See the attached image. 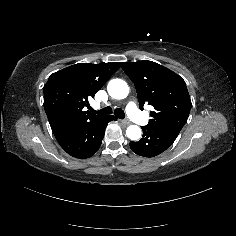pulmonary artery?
I'll return each mask as SVG.
<instances>
[{
  "label": "pulmonary artery",
  "instance_id": "pulmonary-artery-1",
  "mask_svg": "<svg viewBox=\"0 0 236 236\" xmlns=\"http://www.w3.org/2000/svg\"><path fill=\"white\" fill-rule=\"evenodd\" d=\"M126 111L135 123L145 125L148 122V117L140 112V110L135 106V103H128L126 106Z\"/></svg>",
  "mask_w": 236,
  "mask_h": 236
}]
</instances>
